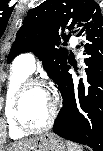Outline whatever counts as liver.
Instances as JSON below:
<instances>
[{"label":"liver","mask_w":103,"mask_h":151,"mask_svg":"<svg viewBox=\"0 0 103 151\" xmlns=\"http://www.w3.org/2000/svg\"><path fill=\"white\" fill-rule=\"evenodd\" d=\"M37 138L38 137L15 143L11 146V148L8 149V151H27L37 140Z\"/></svg>","instance_id":"6515ba94"}]
</instances>
